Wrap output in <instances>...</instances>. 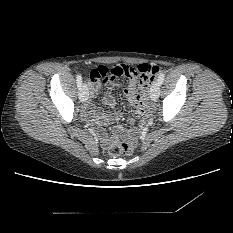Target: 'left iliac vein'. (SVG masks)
<instances>
[{"instance_id": "left-iliac-vein-1", "label": "left iliac vein", "mask_w": 233, "mask_h": 233, "mask_svg": "<svg viewBox=\"0 0 233 233\" xmlns=\"http://www.w3.org/2000/svg\"><path fill=\"white\" fill-rule=\"evenodd\" d=\"M160 94V83L155 81L150 89V98L151 100H157Z\"/></svg>"}]
</instances>
